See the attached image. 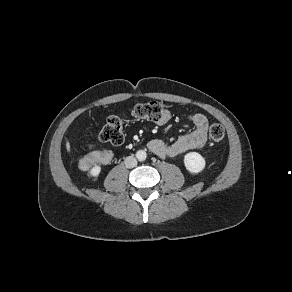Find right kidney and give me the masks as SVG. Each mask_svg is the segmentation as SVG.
I'll list each match as a JSON object with an SVG mask.
<instances>
[{"mask_svg":"<svg viewBox=\"0 0 292 292\" xmlns=\"http://www.w3.org/2000/svg\"><path fill=\"white\" fill-rule=\"evenodd\" d=\"M100 172H101V167L96 165L90 169L89 174L92 177H98Z\"/></svg>","mask_w":292,"mask_h":292,"instance_id":"1","label":"right kidney"}]
</instances>
